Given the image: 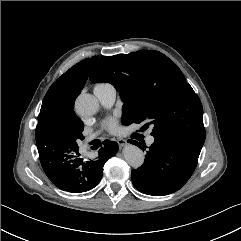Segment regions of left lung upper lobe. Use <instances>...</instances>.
<instances>
[{"mask_svg": "<svg viewBox=\"0 0 241 241\" xmlns=\"http://www.w3.org/2000/svg\"><path fill=\"white\" fill-rule=\"evenodd\" d=\"M90 80L111 83L119 92L124 125L145 122L151 135L171 137L203 146V107L180 69L158 51L142 50L101 57Z\"/></svg>", "mask_w": 241, "mask_h": 241, "instance_id": "obj_1", "label": "left lung upper lobe"}]
</instances>
